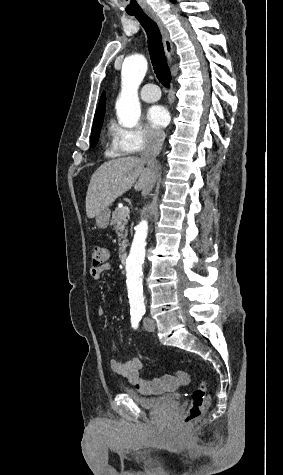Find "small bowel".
I'll use <instances>...</instances> for the list:
<instances>
[{
    "label": "small bowel",
    "instance_id": "small-bowel-1",
    "mask_svg": "<svg viewBox=\"0 0 283 475\" xmlns=\"http://www.w3.org/2000/svg\"><path fill=\"white\" fill-rule=\"evenodd\" d=\"M109 269V264L93 266L89 269V275L93 280H99L104 272L108 271ZM97 315L99 317H104L106 315V310L103 307H99L97 310ZM141 366L142 362L137 357L129 358L124 362L117 359L110 360V368L115 374L122 376L127 382L140 391H146L148 388V382L140 377L139 371ZM180 378L182 380H187L189 378V373L187 371H182L180 373ZM154 382L157 385L162 383L164 385H172L175 382L174 374L173 372L168 371L163 378L160 376L155 377ZM181 382L185 383L183 381Z\"/></svg>",
    "mask_w": 283,
    "mask_h": 475
}]
</instances>
